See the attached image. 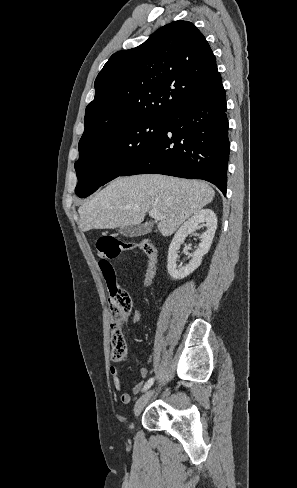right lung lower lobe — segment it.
Listing matches in <instances>:
<instances>
[{"label":"right lung lower lobe","instance_id":"98d812e1","mask_svg":"<svg viewBox=\"0 0 297 488\" xmlns=\"http://www.w3.org/2000/svg\"><path fill=\"white\" fill-rule=\"evenodd\" d=\"M225 90H212L183 105L155 142L120 176L143 173L203 179L226 195L229 157Z\"/></svg>","mask_w":297,"mask_h":488}]
</instances>
